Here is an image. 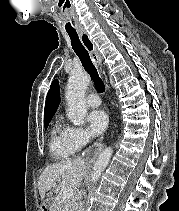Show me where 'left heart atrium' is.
<instances>
[{"instance_id": "left-heart-atrium-1", "label": "left heart atrium", "mask_w": 179, "mask_h": 211, "mask_svg": "<svg viewBox=\"0 0 179 211\" xmlns=\"http://www.w3.org/2000/svg\"><path fill=\"white\" fill-rule=\"evenodd\" d=\"M87 123L92 135H101L108 126L107 114L102 110H93L87 115Z\"/></svg>"}]
</instances>
